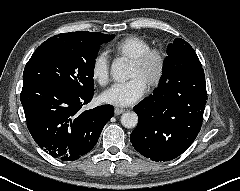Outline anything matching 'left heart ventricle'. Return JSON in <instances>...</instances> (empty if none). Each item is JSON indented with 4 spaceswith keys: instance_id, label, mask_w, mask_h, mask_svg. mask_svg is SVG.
Here are the masks:
<instances>
[{
    "instance_id": "obj_1",
    "label": "left heart ventricle",
    "mask_w": 240,
    "mask_h": 191,
    "mask_svg": "<svg viewBox=\"0 0 240 191\" xmlns=\"http://www.w3.org/2000/svg\"><path fill=\"white\" fill-rule=\"evenodd\" d=\"M156 72V62H150L145 68L139 69L133 64L130 66L129 70V77H137L139 78L144 84H146L147 80L152 78Z\"/></svg>"
}]
</instances>
